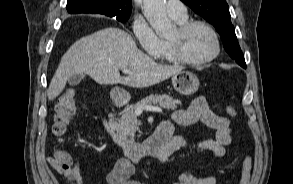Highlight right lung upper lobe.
<instances>
[{"label": "right lung upper lobe", "instance_id": "right-lung-upper-lobe-1", "mask_svg": "<svg viewBox=\"0 0 293 184\" xmlns=\"http://www.w3.org/2000/svg\"><path fill=\"white\" fill-rule=\"evenodd\" d=\"M132 10L131 0H68L67 11L70 14L91 13L104 14L113 17L115 15L130 14Z\"/></svg>", "mask_w": 293, "mask_h": 184}]
</instances>
